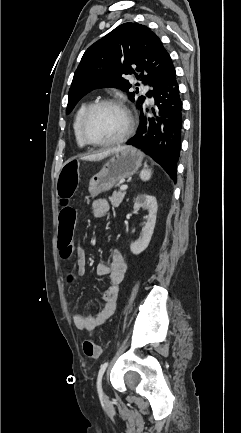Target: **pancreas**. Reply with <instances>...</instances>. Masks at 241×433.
Returning <instances> with one entry per match:
<instances>
[{"instance_id":"1","label":"pancreas","mask_w":241,"mask_h":433,"mask_svg":"<svg viewBox=\"0 0 241 433\" xmlns=\"http://www.w3.org/2000/svg\"><path fill=\"white\" fill-rule=\"evenodd\" d=\"M125 194V192H114L112 196L109 197L112 207H118L123 201Z\"/></svg>"}]
</instances>
